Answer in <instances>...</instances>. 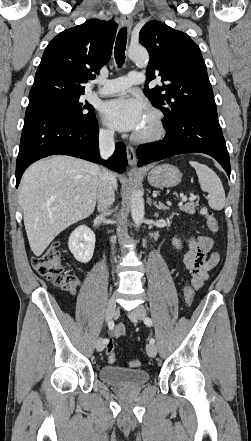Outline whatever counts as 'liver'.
I'll list each match as a JSON object with an SVG mask.
<instances>
[{
	"mask_svg": "<svg viewBox=\"0 0 251 441\" xmlns=\"http://www.w3.org/2000/svg\"><path fill=\"white\" fill-rule=\"evenodd\" d=\"M100 172L94 163L65 155L38 161L25 171L19 204L29 245L36 256L60 232L93 213Z\"/></svg>",
	"mask_w": 251,
	"mask_h": 441,
	"instance_id": "obj_1",
	"label": "liver"
}]
</instances>
